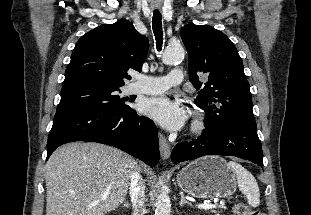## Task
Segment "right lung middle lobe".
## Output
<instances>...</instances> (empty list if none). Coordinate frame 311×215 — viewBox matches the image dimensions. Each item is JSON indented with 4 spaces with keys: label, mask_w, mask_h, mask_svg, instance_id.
Listing matches in <instances>:
<instances>
[{
    "label": "right lung middle lobe",
    "mask_w": 311,
    "mask_h": 215,
    "mask_svg": "<svg viewBox=\"0 0 311 215\" xmlns=\"http://www.w3.org/2000/svg\"><path fill=\"white\" fill-rule=\"evenodd\" d=\"M119 91V87L94 83H75L63 86L61 100L56 111L67 108H87L104 112H122L131 109L125 104L128 98H120Z\"/></svg>",
    "instance_id": "obj_1"
}]
</instances>
